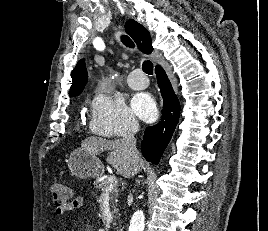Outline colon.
<instances>
[{
    "instance_id": "5ec220e1",
    "label": "colon",
    "mask_w": 268,
    "mask_h": 231,
    "mask_svg": "<svg viewBox=\"0 0 268 231\" xmlns=\"http://www.w3.org/2000/svg\"><path fill=\"white\" fill-rule=\"evenodd\" d=\"M53 202L57 208L66 209L70 199V189L62 183L54 182L50 186Z\"/></svg>"
}]
</instances>
